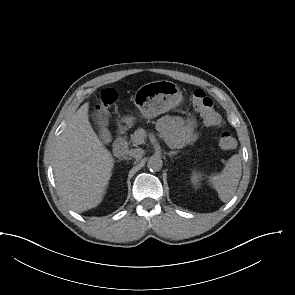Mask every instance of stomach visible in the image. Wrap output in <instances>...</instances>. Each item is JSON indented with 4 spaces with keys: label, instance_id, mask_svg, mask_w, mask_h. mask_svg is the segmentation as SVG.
Instances as JSON below:
<instances>
[{
    "label": "stomach",
    "instance_id": "0dacf381",
    "mask_svg": "<svg viewBox=\"0 0 295 295\" xmlns=\"http://www.w3.org/2000/svg\"><path fill=\"white\" fill-rule=\"evenodd\" d=\"M182 99V91L175 83L161 80L141 86L136 92L135 104L143 117L149 119L178 106ZM122 122L131 126L134 123V118L126 116Z\"/></svg>",
    "mask_w": 295,
    "mask_h": 295
}]
</instances>
